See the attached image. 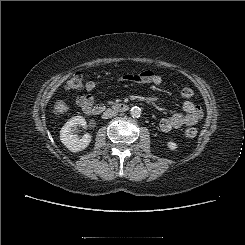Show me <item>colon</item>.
<instances>
[{
  "instance_id": "1",
  "label": "colon",
  "mask_w": 245,
  "mask_h": 245,
  "mask_svg": "<svg viewBox=\"0 0 245 245\" xmlns=\"http://www.w3.org/2000/svg\"><path fill=\"white\" fill-rule=\"evenodd\" d=\"M83 75L81 73L73 74L66 82L65 87L68 90L79 91L83 88ZM182 98H190L193 96V91L190 88H182L180 91ZM53 111L57 115H62L68 111V105L64 100H56L53 105ZM184 135L187 138H194L197 135L196 128H187L184 131Z\"/></svg>"
}]
</instances>
